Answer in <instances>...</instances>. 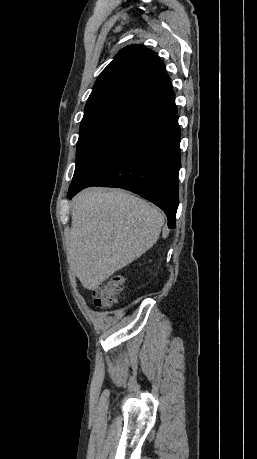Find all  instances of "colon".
<instances>
[{
    "label": "colon",
    "instance_id": "1",
    "mask_svg": "<svg viewBox=\"0 0 257 459\" xmlns=\"http://www.w3.org/2000/svg\"><path fill=\"white\" fill-rule=\"evenodd\" d=\"M123 277L115 274L94 288L92 299L98 307H110L117 303L118 296L122 291Z\"/></svg>",
    "mask_w": 257,
    "mask_h": 459
}]
</instances>
